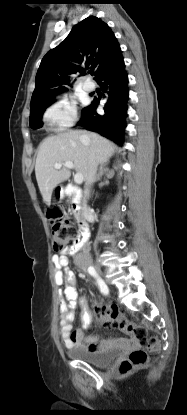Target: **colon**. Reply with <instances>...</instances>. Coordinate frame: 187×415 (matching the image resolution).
<instances>
[{
	"label": "colon",
	"mask_w": 187,
	"mask_h": 415,
	"mask_svg": "<svg viewBox=\"0 0 187 415\" xmlns=\"http://www.w3.org/2000/svg\"><path fill=\"white\" fill-rule=\"evenodd\" d=\"M51 218V231L53 236V248L62 252L73 249L79 241L77 227L65 216L63 210L54 207L49 212ZM98 315L108 330H119L124 335L137 341L140 348L132 350L128 357L119 366V373L127 375L147 362V352L157 351L159 340L150 336L145 327L130 322L116 307L104 306L100 308Z\"/></svg>",
	"instance_id": "5ec220e1"
}]
</instances>
